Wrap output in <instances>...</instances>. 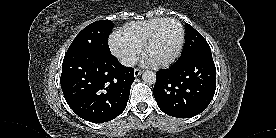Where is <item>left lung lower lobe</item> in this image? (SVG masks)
Returning <instances> with one entry per match:
<instances>
[{"label":"left lung lower lobe","mask_w":276,"mask_h":138,"mask_svg":"<svg viewBox=\"0 0 276 138\" xmlns=\"http://www.w3.org/2000/svg\"><path fill=\"white\" fill-rule=\"evenodd\" d=\"M153 94L159 108L177 118H190L203 112L216 89V68L211 50L177 61L156 73Z\"/></svg>","instance_id":"left-lung-lower-lobe-1"}]
</instances>
